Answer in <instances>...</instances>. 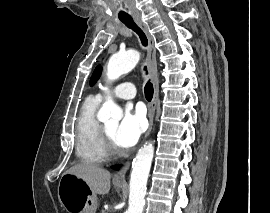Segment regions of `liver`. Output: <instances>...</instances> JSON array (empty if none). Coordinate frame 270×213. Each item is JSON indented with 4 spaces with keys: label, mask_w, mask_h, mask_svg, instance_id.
<instances>
[{
    "label": "liver",
    "mask_w": 270,
    "mask_h": 213,
    "mask_svg": "<svg viewBox=\"0 0 270 213\" xmlns=\"http://www.w3.org/2000/svg\"><path fill=\"white\" fill-rule=\"evenodd\" d=\"M64 174H73L83 179L95 195H104L110 190V172L97 165L83 162L72 166Z\"/></svg>",
    "instance_id": "obj_1"
}]
</instances>
